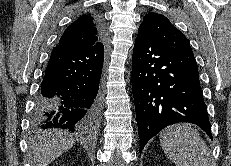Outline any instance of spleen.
I'll use <instances>...</instances> for the list:
<instances>
[{"label":"spleen","mask_w":231,"mask_h":166,"mask_svg":"<svg viewBox=\"0 0 231 166\" xmlns=\"http://www.w3.org/2000/svg\"><path fill=\"white\" fill-rule=\"evenodd\" d=\"M159 139L165 155L176 166H213L208 146L190 124L169 126L160 133Z\"/></svg>","instance_id":"1"}]
</instances>
